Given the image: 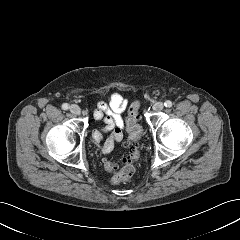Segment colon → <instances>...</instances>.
Wrapping results in <instances>:
<instances>
[{"label": "colon", "mask_w": 240, "mask_h": 240, "mask_svg": "<svg viewBox=\"0 0 240 240\" xmlns=\"http://www.w3.org/2000/svg\"><path fill=\"white\" fill-rule=\"evenodd\" d=\"M140 107V102H133L128 109V116L126 119V129L128 132V149L126 155L122 159L123 166L118 170L117 165L104 161V167L113 172L111 182L113 185H119L125 181H128L135 172L133 163L139 157V149L137 142L141 137L142 129L139 125V114L138 110Z\"/></svg>", "instance_id": "obj_1"}]
</instances>
